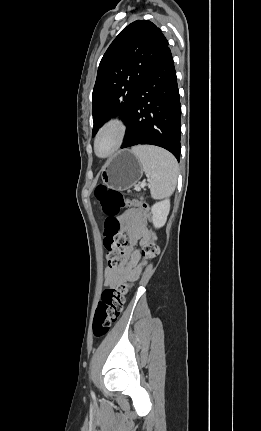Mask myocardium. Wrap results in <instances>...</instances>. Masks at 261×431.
Returning a JSON list of instances; mask_svg holds the SVG:
<instances>
[{
  "instance_id": "f54148a6",
  "label": "myocardium",
  "mask_w": 261,
  "mask_h": 431,
  "mask_svg": "<svg viewBox=\"0 0 261 431\" xmlns=\"http://www.w3.org/2000/svg\"><path fill=\"white\" fill-rule=\"evenodd\" d=\"M106 133L113 135V144L111 148L104 154L98 152V142ZM126 134L125 122L118 116L111 117L105 121L96 132L93 140L94 154L102 159L108 158L116 153L121 147Z\"/></svg>"
}]
</instances>
